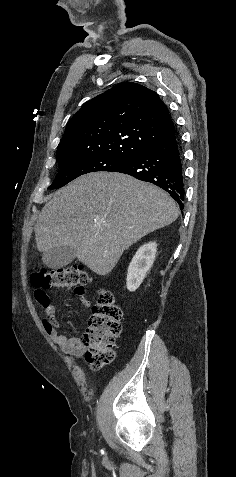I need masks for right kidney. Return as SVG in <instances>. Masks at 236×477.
Masks as SVG:
<instances>
[{
    "label": "right kidney",
    "instance_id": "1",
    "mask_svg": "<svg viewBox=\"0 0 236 477\" xmlns=\"http://www.w3.org/2000/svg\"><path fill=\"white\" fill-rule=\"evenodd\" d=\"M157 250V244L150 242L141 246L134 255L128 267L127 289L135 291L142 283L146 273L153 265Z\"/></svg>",
    "mask_w": 236,
    "mask_h": 477
}]
</instances>
